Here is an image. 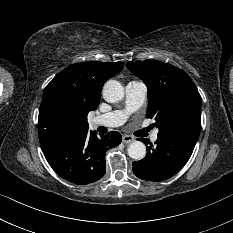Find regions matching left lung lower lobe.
I'll return each mask as SVG.
<instances>
[{"label": "left lung lower lobe", "mask_w": 233, "mask_h": 233, "mask_svg": "<svg viewBox=\"0 0 233 233\" xmlns=\"http://www.w3.org/2000/svg\"><path fill=\"white\" fill-rule=\"evenodd\" d=\"M200 132L184 130L168 135H158L153 147L149 140L141 138L147 146V155L133 162L134 174L149 181H163L180 171L189 160Z\"/></svg>", "instance_id": "obj_1"}]
</instances>
